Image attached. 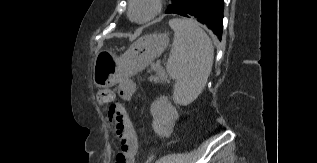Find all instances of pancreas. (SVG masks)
<instances>
[{
    "mask_svg": "<svg viewBox=\"0 0 317 163\" xmlns=\"http://www.w3.org/2000/svg\"><path fill=\"white\" fill-rule=\"evenodd\" d=\"M154 71L155 75L150 77V80L154 82H163L166 80V74L163 67L157 64H152L149 72Z\"/></svg>",
    "mask_w": 317,
    "mask_h": 163,
    "instance_id": "pancreas-1",
    "label": "pancreas"
}]
</instances>
